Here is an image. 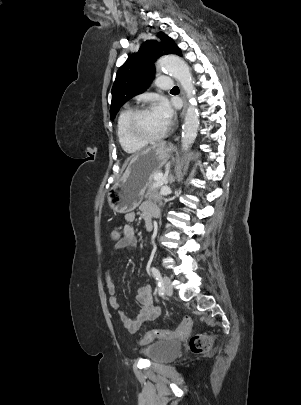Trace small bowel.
Listing matches in <instances>:
<instances>
[{
    "mask_svg": "<svg viewBox=\"0 0 301 405\" xmlns=\"http://www.w3.org/2000/svg\"><path fill=\"white\" fill-rule=\"evenodd\" d=\"M139 211L145 222L159 216V208L151 201H145L140 205ZM137 218L136 212H129L125 215L126 225L123 231H119L118 241L113 244L112 255L119 253L126 248L135 247L137 239L133 226L131 225ZM106 288L110 295L109 303L112 308L118 310L119 317L124 326L130 332H136L142 325L154 320L160 313L159 307L154 302V296L151 286L142 285L138 289L136 300L140 305V312L135 318H130L124 311L120 309V304L116 296V285L108 272L106 276Z\"/></svg>",
    "mask_w": 301,
    "mask_h": 405,
    "instance_id": "small-bowel-1",
    "label": "small bowel"
}]
</instances>
